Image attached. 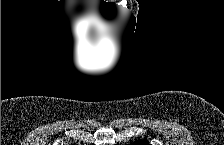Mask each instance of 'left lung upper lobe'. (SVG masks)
I'll use <instances>...</instances> for the list:
<instances>
[{"mask_svg":"<svg viewBox=\"0 0 224 145\" xmlns=\"http://www.w3.org/2000/svg\"><path fill=\"white\" fill-rule=\"evenodd\" d=\"M133 145H149L148 141H138L136 143H133Z\"/></svg>","mask_w":224,"mask_h":145,"instance_id":"left-lung-upper-lobe-1","label":"left lung upper lobe"}]
</instances>
